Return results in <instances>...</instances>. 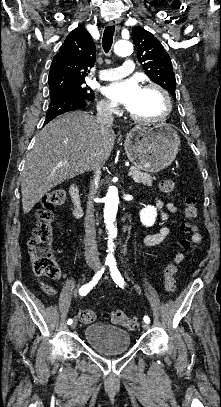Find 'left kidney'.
<instances>
[{"mask_svg": "<svg viewBox=\"0 0 221 407\" xmlns=\"http://www.w3.org/2000/svg\"><path fill=\"white\" fill-rule=\"evenodd\" d=\"M157 217V209L154 206H145L140 211V221L146 227H151L155 224Z\"/></svg>", "mask_w": 221, "mask_h": 407, "instance_id": "5707ae66", "label": "left kidney"}]
</instances>
